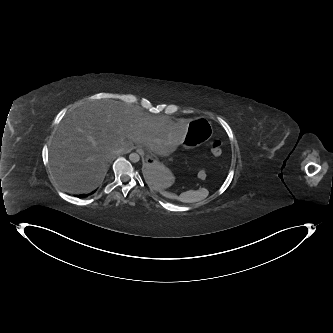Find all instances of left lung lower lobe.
<instances>
[{
  "label": "left lung lower lobe",
  "mask_w": 333,
  "mask_h": 333,
  "mask_svg": "<svg viewBox=\"0 0 333 333\" xmlns=\"http://www.w3.org/2000/svg\"><path fill=\"white\" fill-rule=\"evenodd\" d=\"M144 175L150 181L153 175V168L149 164L144 168Z\"/></svg>",
  "instance_id": "obj_1"
}]
</instances>
